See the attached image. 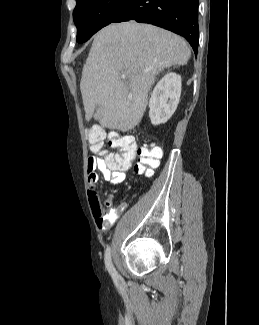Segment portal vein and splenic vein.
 <instances>
[{
    "instance_id": "18ae733b",
    "label": "portal vein and splenic vein",
    "mask_w": 259,
    "mask_h": 325,
    "mask_svg": "<svg viewBox=\"0 0 259 325\" xmlns=\"http://www.w3.org/2000/svg\"><path fill=\"white\" fill-rule=\"evenodd\" d=\"M121 78H122L123 80H125V79H126V76H125V75H122Z\"/></svg>"
}]
</instances>
